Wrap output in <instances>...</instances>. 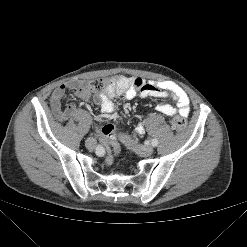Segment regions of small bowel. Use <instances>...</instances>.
<instances>
[{"label":"small bowel","mask_w":247,"mask_h":247,"mask_svg":"<svg viewBox=\"0 0 247 247\" xmlns=\"http://www.w3.org/2000/svg\"><path fill=\"white\" fill-rule=\"evenodd\" d=\"M69 90L82 99L89 100L90 92L83 81H68L57 86L51 95L50 106L54 117L61 122L69 120L78 113L74 104H70L65 108L62 107V99ZM136 96L153 97L161 99H172L176 101V107L167 102H161L156 106V110L166 116L179 114L182 117H188L190 113L189 97L186 92L177 84L170 81L153 82L143 78L118 77L108 80L106 90L94 96V102L100 107L101 112L106 117H112L114 113V98L122 97L125 100L133 99ZM136 131L143 132V126L138 124ZM103 145L111 146L116 141L114 133L111 136L102 135ZM110 158L107 162H110Z\"/></svg>","instance_id":"1"}]
</instances>
